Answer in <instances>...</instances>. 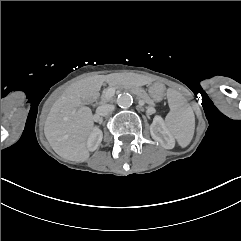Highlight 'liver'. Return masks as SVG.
<instances>
[{
  "label": "liver",
  "mask_w": 241,
  "mask_h": 241,
  "mask_svg": "<svg viewBox=\"0 0 241 241\" xmlns=\"http://www.w3.org/2000/svg\"><path fill=\"white\" fill-rule=\"evenodd\" d=\"M120 74L95 75L69 86L54 102L47 116L44 134L52 149L61 157L76 162L89 158L87 138L93 130V115L84 106L98 95L104 82L115 86Z\"/></svg>",
  "instance_id": "liver-1"
}]
</instances>
